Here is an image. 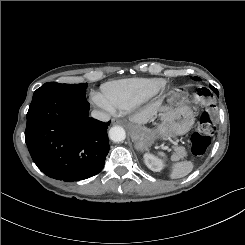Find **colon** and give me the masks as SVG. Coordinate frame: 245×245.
I'll return each instance as SVG.
<instances>
[{
	"label": "colon",
	"mask_w": 245,
	"mask_h": 245,
	"mask_svg": "<svg viewBox=\"0 0 245 245\" xmlns=\"http://www.w3.org/2000/svg\"><path fill=\"white\" fill-rule=\"evenodd\" d=\"M215 127L207 111L199 117L197 131L191 138V151L195 156H202L206 153L210 145V137L214 133Z\"/></svg>",
	"instance_id": "1"
}]
</instances>
